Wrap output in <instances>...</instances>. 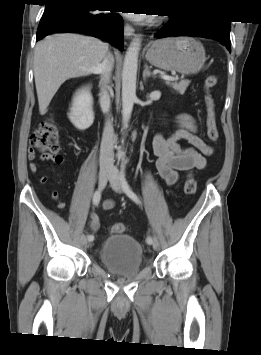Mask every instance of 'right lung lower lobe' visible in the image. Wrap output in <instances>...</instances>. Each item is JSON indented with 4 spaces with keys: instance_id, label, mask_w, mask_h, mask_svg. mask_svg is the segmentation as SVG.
Listing matches in <instances>:
<instances>
[{
    "instance_id": "obj_1",
    "label": "right lung lower lobe",
    "mask_w": 261,
    "mask_h": 355,
    "mask_svg": "<svg viewBox=\"0 0 261 355\" xmlns=\"http://www.w3.org/2000/svg\"><path fill=\"white\" fill-rule=\"evenodd\" d=\"M36 41L51 33H84L123 50V20L117 13H98L89 0H45Z\"/></svg>"
}]
</instances>
